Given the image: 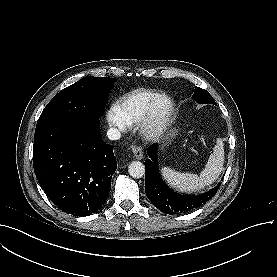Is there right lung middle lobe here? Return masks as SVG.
I'll return each mask as SVG.
<instances>
[{
    "instance_id": "dd1d6c3e",
    "label": "right lung middle lobe",
    "mask_w": 277,
    "mask_h": 277,
    "mask_svg": "<svg viewBox=\"0 0 277 277\" xmlns=\"http://www.w3.org/2000/svg\"><path fill=\"white\" fill-rule=\"evenodd\" d=\"M115 79L84 77L61 90L44 108L37 124L57 119L99 117Z\"/></svg>"
}]
</instances>
